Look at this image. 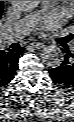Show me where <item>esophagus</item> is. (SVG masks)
<instances>
[{
    "label": "esophagus",
    "instance_id": "obj_1",
    "mask_svg": "<svg viewBox=\"0 0 74 122\" xmlns=\"http://www.w3.org/2000/svg\"><path fill=\"white\" fill-rule=\"evenodd\" d=\"M30 46L35 49H42L45 47V44L42 42H34V43H31Z\"/></svg>",
    "mask_w": 74,
    "mask_h": 122
}]
</instances>
